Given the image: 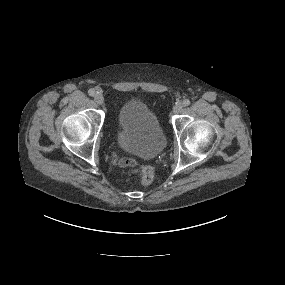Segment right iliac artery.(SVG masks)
Wrapping results in <instances>:
<instances>
[{
	"label": "right iliac artery",
	"instance_id": "82829eb1",
	"mask_svg": "<svg viewBox=\"0 0 285 285\" xmlns=\"http://www.w3.org/2000/svg\"><path fill=\"white\" fill-rule=\"evenodd\" d=\"M88 93L90 96H94L96 94L94 89H90Z\"/></svg>",
	"mask_w": 285,
	"mask_h": 285
}]
</instances>
